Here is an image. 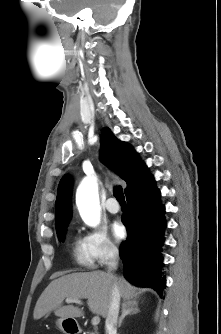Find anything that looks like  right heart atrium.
<instances>
[{
  "instance_id": "obj_1",
  "label": "right heart atrium",
  "mask_w": 221,
  "mask_h": 334,
  "mask_svg": "<svg viewBox=\"0 0 221 334\" xmlns=\"http://www.w3.org/2000/svg\"><path fill=\"white\" fill-rule=\"evenodd\" d=\"M85 243L93 262L104 265L118 254L117 245L109 238L106 230L96 227L87 232Z\"/></svg>"
}]
</instances>
